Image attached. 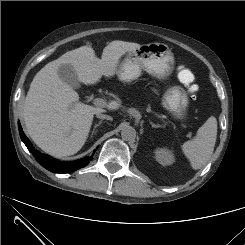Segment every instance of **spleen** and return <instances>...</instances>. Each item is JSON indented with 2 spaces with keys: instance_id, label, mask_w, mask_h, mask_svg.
<instances>
[{
  "instance_id": "spleen-1",
  "label": "spleen",
  "mask_w": 245,
  "mask_h": 245,
  "mask_svg": "<svg viewBox=\"0 0 245 245\" xmlns=\"http://www.w3.org/2000/svg\"><path fill=\"white\" fill-rule=\"evenodd\" d=\"M216 138L217 120L211 116L198 129L195 138L182 145V151L193 169H200L208 162L213 154Z\"/></svg>"
}]
</instances>
